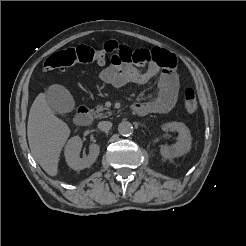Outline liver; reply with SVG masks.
I'll use <instances>...</instances> for the list:
<instances>
[{
  "label": "liver",
  "instance_id": "6515ba94",
  "mask_svg": "<svg viewBox=\"0 0 246 246\" xmlns=\"http://www.w3.org/2000/svg\"><path fill=\"white\" fill-rule=\"evenodd\" d=\"M70 132L68 125L49 107L45 94H38L29 112L28 143L33 157L50 176L58 173L60 153Z\"/></svg>",
  "mask_w": 246,
  "mask_h": 246
}]
</instances>
